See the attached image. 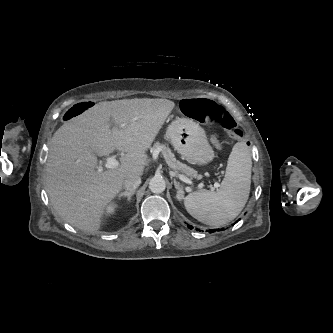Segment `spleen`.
<instances>
[{
	"mask_svg": "<svg viewBox=\"0 0 333 333\" xmlns=\"http://www.w3.org/2000/svg\"><path fill=\"white\" fill-rule=\"evenodd\" d=\"M251 152L245 142L236 143L228 158L225 178L217 191L198 190L184 198L188 213L210 226H222L244 208L251 185Z\"/></svg>",
	"mask_w": 333,
	"mask_h": 333,
	"instance_id": "1",
	"label": "spleen"
}]
</instances>
